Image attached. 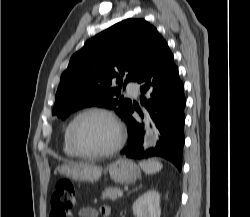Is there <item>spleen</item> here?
Listing matches in <instances>:
<instances>
[{
    "label": "spleen",
    "instance_id": "spleen-1",
    "mask_svg": "<svg viewBox=\"0 0 250 217\" xmlns=\"http://www.w3.org/2000/svg\"><path fill=\"white\" fill-rule=\"evenodd\" d=\"M140 166L146 174H154L162 169V164L156 160L141 161Z\"/></svg>",
    "mask_w": 250,
    "mask_h": 217
}]
</instances>
